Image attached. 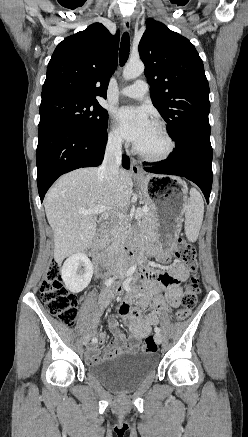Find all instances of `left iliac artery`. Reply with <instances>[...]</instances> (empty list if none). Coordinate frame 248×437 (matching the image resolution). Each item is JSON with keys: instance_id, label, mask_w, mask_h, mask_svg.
<instances>
[{"instance_id": "1", "label": "left iliac artery", "mask_w": 248, "mask_h": 437, "mask_svg": "<svg viewBox=\"0 0 248 437\" xmlns=\"http://www.w3.org/2000/svg\"><path fill=\"white\" fill-rule=\"evenodd\" d=\"M132 277H128L125 281H124V283H123V286H124V289L125 290H127V291H130L131 290V287H130V283H131V281H132ZM155 332L156 333H160V328L159 327H155Z\"/></svg>"}]
</instances>
